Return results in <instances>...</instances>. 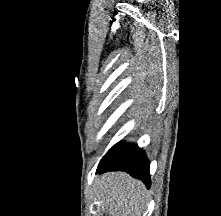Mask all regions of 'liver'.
I'll return each mask as SVG.
<instances>
[{
    "instance_id": "6515ba94",
    "label": "liver",
    "mask_w": 221,
    "mask_h": 216,
    "mask_svg": "<svg viewBox=\"0 0 221 216\" xmlns=\"http://www.w3.org/2000/svg\"><path fill=\"white\" fill-rule=\"evenodd\" d=\"M95 195L110 216H141L146 207L145 185L125 172L103 174Z\"/></svg>"
}]
</instances>
